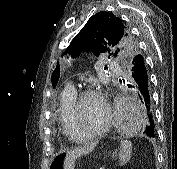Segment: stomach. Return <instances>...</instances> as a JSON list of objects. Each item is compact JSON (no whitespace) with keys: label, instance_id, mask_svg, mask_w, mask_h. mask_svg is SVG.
I'll list each match as a JSON object with an SVG mask.
<instances>
[{"label":"stomach","instance_id":"0dacf381","mask_svg":"<svg viewBox=\"0 0 177 169\" xmlns=\"http://www.w3.org/2000/svg\"><path fill=\"white\" fill-rule=\"evenodd\" d=\"M65 154H56L51 160L49 169H66L64 167Z\"/></svg>","mask_w":177,"mask_h":169}]
</instances>
